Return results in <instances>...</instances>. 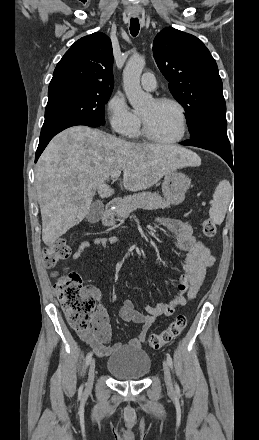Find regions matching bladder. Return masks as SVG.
Here are the masks:
<instances>
[{"label": "bladder", "instance_id": "bladder-1", "mask_svg": "<svg viewBox=\"0 0 259 440\" xmlns=\"http://www.w3.org/2000/svg\"><path fill=\"white\" fill-rule=\"evenodd\" d=\"M150 368L149 355L139 347L120 346L112 352L106 362V369L112 376L126 381L143 379Z\"/></svg>", "mask_w": 259, "mask_h": 440}]
</instances>
